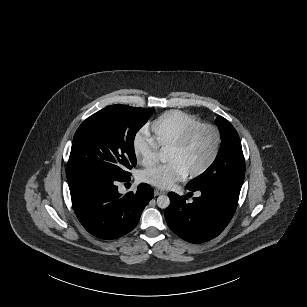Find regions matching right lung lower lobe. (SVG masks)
Instances as JSON below:
<instances>
[{"instance_id": "1", "label": "right lung lower lobe", "mask_w": 307, "mask_h": 307, "mask_svg": "<svg viewBox=\"0 0 307 307\" xmlns=\"http://www.w3.org/2000/svg\"><path fill=\"white\" fill-rule=\"evenodd\" d=\"M129 179L92 174L68 180L75 214L90 234L105 240L116 239L137 225L153 197V189L142 183L136 193L122 196L116 185Z\"/></svg>"}]
</instances>
